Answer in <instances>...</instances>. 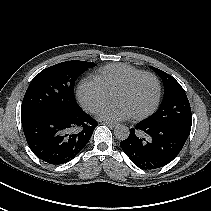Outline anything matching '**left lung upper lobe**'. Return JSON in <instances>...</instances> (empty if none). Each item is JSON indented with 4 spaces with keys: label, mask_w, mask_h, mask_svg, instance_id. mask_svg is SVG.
Listing matches in <instances>:
<instances>
[{
    "label": "left lung upper lobe",
    "mask_w": 211,
    "mask_h": 211,
    "mask_svg": "<svg viewBox=\"0 0 211 211\" xmlns=\"http://www.w3.org/2000/svg\"><path fill=\"white\" fill-rule=\"evenodd\" d=\"M162 79L164 98L159 110L143 120L149 124L170 126L189 135L192 125V114L184 89L169 74L150 66Z\"/></svg>",
    "instance_id": "left-lung-upper-lobe-1"
}]
</instances>
